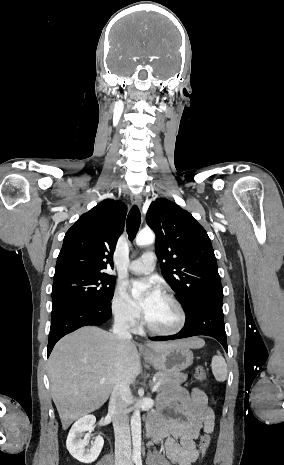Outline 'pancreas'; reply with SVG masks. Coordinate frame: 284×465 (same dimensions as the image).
Instances as JSON below:
<instances>
[{
  "mask_svg": "<svg viewBox=\"0 0 284 465\" xmlns=\"http://www.w3.org/2000/svg\"><path fill=\"white\" fill-rule=\"evenodd\" d=\"M156 381L153 383L156 385V383H161L157 389V393H160V391H166V389H171V387H179L181 383H184L187 379V375H184V373H179V371H172V373H165V371H160V373H157L155 375Z\"/></svg>",
  "mask_w": 284,
  "mask_h": 465,
  "instance_id": "obj_1",
  "label": "pancreas"
}]
</instances>
